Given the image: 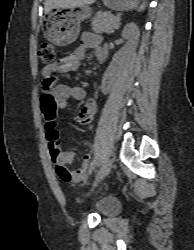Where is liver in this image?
Returning <instances> with one entry per match:
<instances>
[{"mask_svg":"<svg viewBox=\"0 0 194 250\" xmlns=\"http://www.w3.org/2000/svg\"><path fill=\"white\" fill-rule=\"evenodd\" d=\"M96 0H46L44 10L45 13L50 11L52 8H74L78 6L93 4Z\"/></svg>","mask_w":194,"mask_h":250,"instance_id":"1","label":"liver"}]
</instances>
